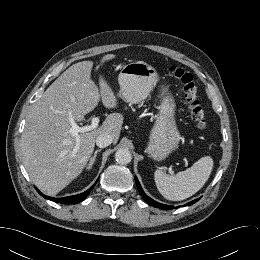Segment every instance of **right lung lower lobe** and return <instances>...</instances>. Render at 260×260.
Returning a JSON list of instances; mask_svg holds the SVG:
<instances>
[{
	"mask_svg": "<svg viewBox=\"0 0 260 260\" xmlns=\"http://www.w3.org/2000/svg\"><path fill=\"white\" fill-rule=\"evenodd\" d=\"M95 184L91 188H89L87 191H85L84 193H81V194H78V195H73V196H68V197H63V198L49 197V196L43 195L38 189H36V190L44 198L49 199L51 201L62 203V204H77V203L83 201L87 197V195L92 190V188L95 186Z\"/></svg>",
	"mask_w": 260,
	"mask_h": 260,
	"instance_id": "1",
	"label": "right lung lower lobe"
}]
</instances>
